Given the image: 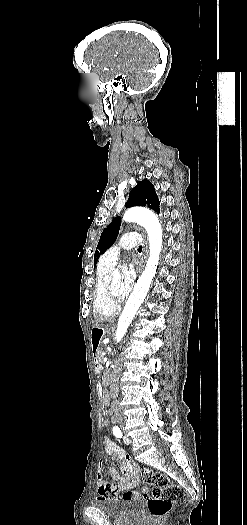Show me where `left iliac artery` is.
Wrapping results in <instances>:
<instances>
[{
  "label": "left iliac artery",
  "mask_w": 247,
  "mask_h": 525,
  "mask_svg": "<svg viewBox=\"0 0 247 525\" xmlns=\"http://www.w3.org/2000/svg\"><path fill=\"white\" fill-rule=\"evenodd\" d=\"M113 434H114L117 438H121V437H122V432H121V430L119 429L118 426H114V427H113Z\"/></svg>",
  "instance_id": "obj_1"
}]
</instances>
